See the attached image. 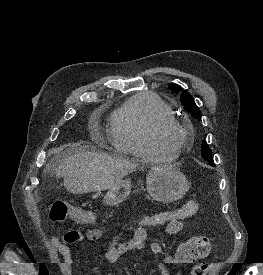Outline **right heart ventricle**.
I'll use <instances>...</instances> for the list:
<instances>
[{"instance_id": "obj_1", "label": "right heart ventricle", "mask_w": 263, "mask_h": 275, "mask_svg": "<svg viewBox=\"0 0 263 275\" xmlns=\"http://www.w3.org/2000/svg\"><path fill=\"white\" fill-rule=\"evenodd\" d=\"M174 117L172 109L155 93L130 97L110 118L109 139L119 152L144 159H171L175 154L158 149L151 130L161 119Z\"/></svg>"}]
</instances>
